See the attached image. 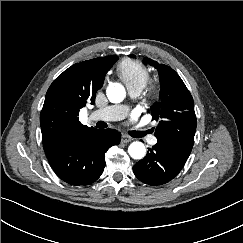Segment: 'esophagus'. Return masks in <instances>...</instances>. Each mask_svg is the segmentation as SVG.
<instances>
[{"label": "esophagus", "instance_id": "esophagus-1", "mask_svg": "<svg viewBox=\"0 0 243 243\" xmlns=\"http://www.w3.org/2000/svg\"><path fill=\"white\" fill-rule=\"evenodd\" d=\"M132 140V138L128 135H122L121 137V141L124 142V143H128Z\"/></svg>", "mask_w": 243, "mask_h": 243}]
</instances>
